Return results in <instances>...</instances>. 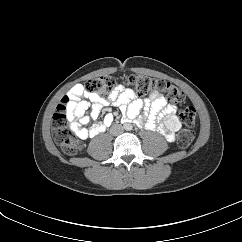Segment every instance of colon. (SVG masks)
Wrapping results in <instances>:
<instances>
[{
	"instance_id": "obj_1",
	"label": "colon",
	"mask_w": 242,
	"mask_h": 242,
	"mask_svg": "<svg viewBox=\"0 0 242 242\" xmlns=\"http://www.w3.org/2000/svg\"><path fill=\"white\" fill-rule=\"evenodd\" d=\"M129 82L133 91L139 96L164 93L169 101L181 105L180 118L184 124L177 137V143L180 147H188L194 138L193 127L196 124V111L192 106L185 105V95L183 91L170 83L155 79L152 77L132 74L129 76ZM116 80L112 75H103L97 78L89 79L84 84V90L99 95L110 94L115 88ZM64 99L69 100L65 95ZM53 138L56 144L67 155H75L81 149V142L73 131L69 120L60 104L52 118Z\"/></svg>"
}]
</instances>
